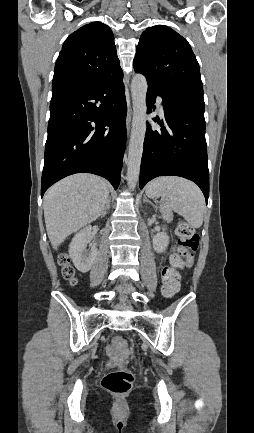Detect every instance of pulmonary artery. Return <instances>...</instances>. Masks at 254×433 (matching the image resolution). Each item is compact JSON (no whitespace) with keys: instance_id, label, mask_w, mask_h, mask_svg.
Returning a JSON list of instances; mask_svg holds the SVG:
<instances>
[{"instance_id":"obj_1","label":"pulmonary artery","mask_w":254,"mask_h":433,"mask_svg":"<svg viewBox=\"0 0 254 433\" xmlns=\"http://www.w3.org/2000/svg\"><path fill=\"white\" fill-rule=\"evenodd\" d=\"M162 99H161V97L160 96H157V103H158V105H159V108H160V111H161V113H163V106H162Z\"/></svg>"}]
</instances>
